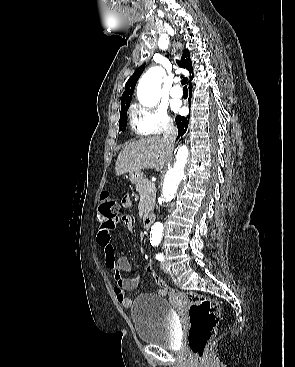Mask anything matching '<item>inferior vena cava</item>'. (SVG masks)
I'll return each instance as SVG.
<instances>
[{"label": "inferior vena cava", "mask_w": 295, "mask_h": 367, "mask_svg": "<svg viewBox=\"0 0 295 367\" xmlns=\"http://www.w3.org/2000/svg\"><path fill=\"white\" fill-rule=\"evenodd\" d=\"M177 134V129L172 124L166 126L163 134V139L166 142L168 148L172 149L174 147V142L176 140Z\"/></svg>", "instance_id": "602c4592"}]
</instances>
